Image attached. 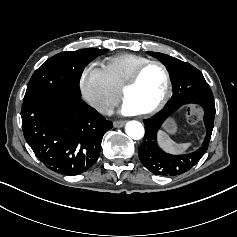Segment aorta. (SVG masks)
Returning <instances> with one entry per match:
<instances>
[{"label":"aorta","instance_id":"aorta-1","mask_svg":"<svg viewBox=\"0 0 237 237\" xmlns=\"http://www.w3.org/2000/svg\"><path fill=\"white\" fill-rule=\"evenodd\" d=\"M126 134L133 140H141L145 135V129L140 122L130 121L126 125Z\"/></svg>","mask_w":237,"mask_h":237}]
</instances>
